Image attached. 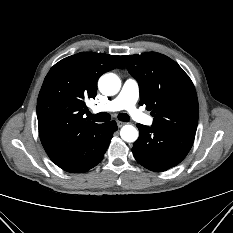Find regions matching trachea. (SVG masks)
<instances>
[{
  "instance_id": "trachea-1",
  "label": "trachea",
  "mask_w": 233,
  "mask_h": 233,
  "mask_svg": "<svg viewBox=\"0 0 233 233\" xmlns=\"http://www.w3.org/2000/svg\"><path fill=\"white\" fill-rule=\"evenodd\" d=\"M88 116L91 120L97 121V122H106V121L110 120V115L106 112H101V113H98L96 115L89 113ZM118 119L120 121H123V122H129L130 117L126 113H120L118 115Z\"/></svg>"
}]
</instances>
